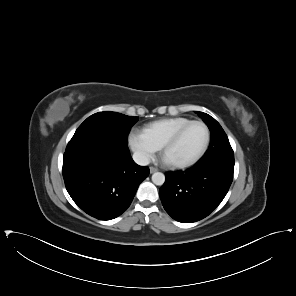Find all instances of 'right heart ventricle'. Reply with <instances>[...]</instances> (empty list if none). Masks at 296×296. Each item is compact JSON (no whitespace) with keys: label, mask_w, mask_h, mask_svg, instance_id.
<instances>
[{"label":"right heart ventricle","mask_w":296,"mask_h":296,"mask_svg":"<svg viewBox=\"0 0 296 296\" xmlns=\"http://www.w3.org/2000/svg\"><path fill=\"white\" fill-rule=\"evenodd\" d=\"M190 121L182 117L161 119L146 126L143 133L158 148H161L175 131Z\"/></svg>","instance_id":"obj_1"}]
</instances>
